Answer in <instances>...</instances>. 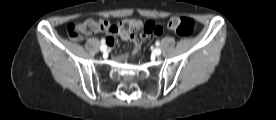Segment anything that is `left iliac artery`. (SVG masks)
<instances>
[{"mask_svg":"<svg viewBox=\"0 0 276 120\" xmlns=\"http://www.w3.org/2000/svg\"><path fill=\"white\" fill-rule=\"evenodd\" d=\"M155 44H156V46H159V45H160V42H159V41H156Z\"/></svg>","mask_w":276,"mask_h":120,"instance_id":"1","label":"left iliac artery"}]
</instances>
